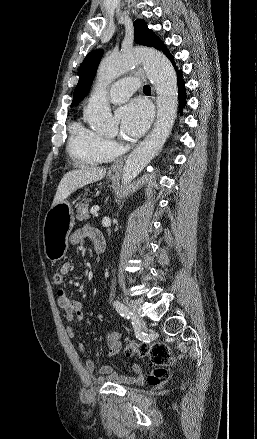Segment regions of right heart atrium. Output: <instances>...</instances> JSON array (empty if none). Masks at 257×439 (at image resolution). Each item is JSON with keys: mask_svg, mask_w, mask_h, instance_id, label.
<instances>
[{"mask_svg": "<svg viewBox=\"0 0 257 439\" xmlns=\"http://www.w3.org/2000/svg\"><path fill=\"white\" fill-rule=\"evenodd\" d=\"M116 148V143L112 139L101 138L100 150L105 158H109L113 155Z\"/></svg>", "mask_w": 257, "mask_h": 439, "instance_id": "right-heart-atrium-1", "label": "right heart atrium"}]
</instances>
